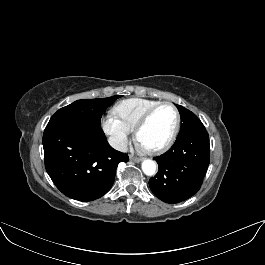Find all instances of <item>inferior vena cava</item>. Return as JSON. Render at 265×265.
I'll return each instance as SVG.
<instances>
[{"mask_svg":"<svg viewBox=\"0 0 265 265\" xmlns=\"http://www.w3.org/2000/svg\"><path fill=\"white\" fill-rule=\"evenodd\" d=\"M108 142L111 147L114 149L121 151V152H127L128 147H127V142L123 139L111 136L108 138Z\"/></svg>","mask_w":265,"mask_h":265,"instance_id":"602c4592","label":"inferior vena cava"}]
</instances>
